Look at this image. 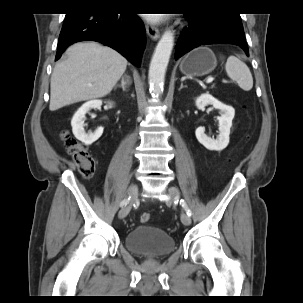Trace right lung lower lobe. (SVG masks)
Instances as JSON below:
<instances>
[{
    "instance_id": "1",
    "label": "right lung lower lobe",
    "mask_w": 303,
    "mask_h": 303,
    "mask_svg": "<svg viewBox=\"0 0 303 303\" xmlns=\"http://www.w3.org/2000/svg\"><path fill=\"white\" fill-rule=\"evenodd\" d=\"M80 41L101 42L139 67L146 43L145 27L136 15L116 14L101 9L68 13L59 36L55 60L68 46Z\"/></svg>"
}]
</instances>
